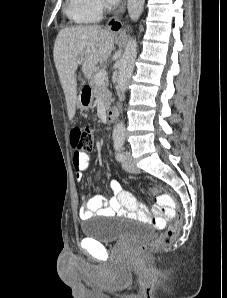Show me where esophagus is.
Instances as JSON below:
<instances>
[{
    "instance_id": "esophagus-1",
    "label": "esophagus",
    "mask_w": 227,
    "mask_h": 298,
    "mask_svg": "<svg viewBox=\"0 0 227 298\" xmlns=\"http://www.w3.org/2000/svg\"><path fill=\"white\" fill-rule=\"evenodd\" d=\"M125 7H126V0L122 2V4L120 5L116 13L108 20L107 27L109 30L113 32H119L120 30H122L123 25L120 18L125 11Z\"/></svg>"
}]
</instances>
